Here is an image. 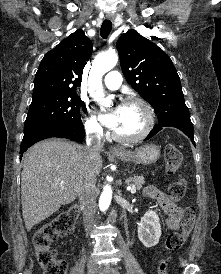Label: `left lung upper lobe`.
Listing matches in <instances>:
<instances>
[{
  "mask_svg": "<svg viewBox=\"0 0 221 274\" xmlns=\"http://www.w3.org/2000/svg\"><path fill=\"white\" fill-rule=\"evenodd\" d=\"M128 83L158 113L185 105L180 78L170 57L155 43L130 29L116 44Z\"/></svg>",
  "mask_w": 221,
  "mask_h": 274,
  "instance_id": "1",
  "label": "left lung upper lobe"
}]
</instances>
